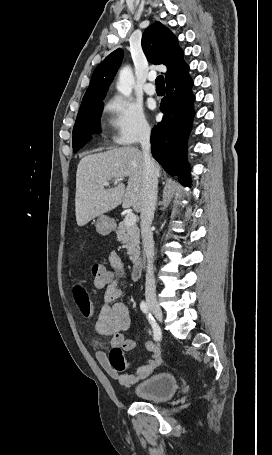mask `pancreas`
I'll use <instances>...</instances> for the list:
<instances>
[{"label": "pancreas", "instance_id": "pancreas-1", "mask_svg": "<svg viewBox=\"0 0 272 455\" xmlns=\"http://www.w3.org/2000/svg\"><path fill=\"white\" fill-rule=\"evenodd\" d=\"M117 241L125 244L130 260L137 263L140 256V231L138 226H127L121 222L116 230Z\"/></svg>", "mask_w": 272, "mask_h": 455}]
</instances>
